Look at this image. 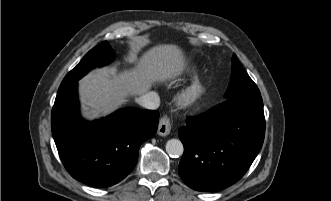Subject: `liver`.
<instances>
[{"instance_id":"1","label":"liver","mask_w":331,"mask_h":201,"mask_svg":"<svg viewBox=\"0 0 331 201\" xmlns=\"http://www.w3.org/2000/svg\"><path fill=\"white\" fill-rule=\"evenodd\" d=\"M184 66L182 51L166 44L151 48L134 68L121 73L114 68L91 71L79 81L82 114L87 119L107 115L129 95H143L153 83L179 76Z\"/></svg>"}]
</instances>
